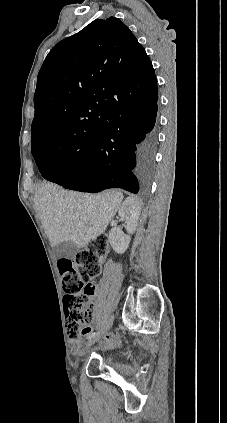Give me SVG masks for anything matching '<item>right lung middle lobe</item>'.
<instances>
[{
	"label": "right lung middle lobe",
	"mask_w": 227,
	"mask_h": 423,
	"mask_svg": "<svg viewBox=\"0 0 227 423\" xmlns=\"http://www.w3.org/2000/svg\"><path fill=\"white\" fill-rule=\"evenodd\" d=\"M31 146L40 173L51 181L69 170L73 171L75 164L92 151L95 141L73 145L61 137L49 136L36 140Z\"/></svg>",
	"instance_id": "right-lung-middle-lobe-1"
}]
</instances>
